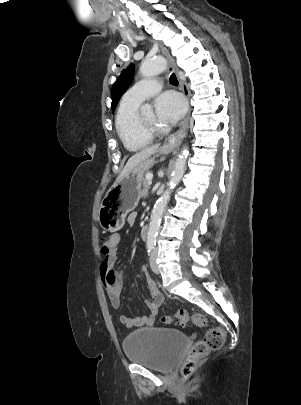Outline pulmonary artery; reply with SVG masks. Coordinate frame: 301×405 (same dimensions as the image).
<instances>
[{"mask_svg":"<svg viewBox=\"0 0 301 405\" xmlns=\"http://www.w3.org/2000/svg\"><path fill=\"white\" fill-rule=\"evenodd\" d=\"M162 88V83L155 78H147L133 85L123 96L122 102L139 105L145 99L155 95Z\"/></svg>","mask_w":301,"mask_h":405,"instance_id":"obj_1","label":"pulmonary artery"}]
</instances>
